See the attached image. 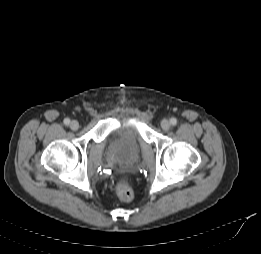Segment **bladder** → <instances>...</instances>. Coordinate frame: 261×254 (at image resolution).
<instances>
[{"instance_id":"bladder-1","label":"bladder","mask_w":261,"mask_h":254,"mask_svg":"<svg viewBox=\"0 0 261 254\" xmlns=\"http://www.w3.org/2000/svg\"><path fill=\"white\" fill-rule=\"evenodd\" d=\"M140 153L138 136L132 128L123 130L113 138L109 148V157L115 165H131Z\"/></svg>"}]
</instances>
